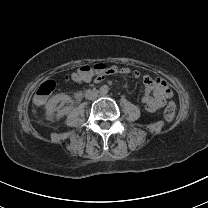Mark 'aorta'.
Here are the masks:
<instances>
[{"mask_svg":"<svg viewBox=\"0 0 208 208\" xmlns=\"http://www.w3.org/2000/svg\"><path fill=\"white\" fill-rule=\"evenodd\" d=\"M99 93L102 96H105L109 93V87L106 84H101L99 86Z\"/></svg>","mask_w":208,"mask_h":208,"instance_id":"1","label":"aorta"}]
</instances>
